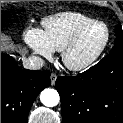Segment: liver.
Wrapping results in <instances>:
<instances>
[{
  "instance_id": "1",
  "label": "liver",
  "mask_w": 123,
  "mask_h": 123,
  "mask_svg": "<svg viewBox=\"0 0 123 123\" xmlns=\"http://www.w3.org/2000/svg\"><path fill=\"white\" fill-rule=\"evenodd\" d=\"M5 43L3 42L2 38H1V50L5 47Z\"/></svg>"
}]
</instances>
